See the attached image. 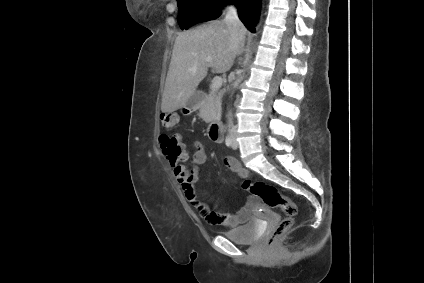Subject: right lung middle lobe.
<instances>
[{
	"label": "right lung middle lobe",
	"instance_id": "dd1d6c3e",
	"mask_svg": "<svg viewBox=\"0 0 424 283\" xmlns=\"http://www.w3.org/2000/svg\"><path fill=\"white\" fill-rule=\"evenodd\" d=\"M177 4L178 23L182 30L220 16L215 13L214 5L209 0H177Z\"/></svg>",
	"mask_w": 424,
	"mask_h": 283
}]
</instances>
